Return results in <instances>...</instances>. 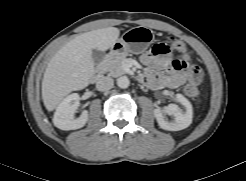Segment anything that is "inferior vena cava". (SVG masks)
Returning a JSON list of instances; mask_svg holds the SVG:
<instances>
[{"label": "inferior vena cava", "mask_w": 246, "mask_h": 181, "mask_svg": "<svg viewBox=\"0 0 246 181\" xmlns=\"http://www.w3.org/2000/svg\"><path fill=\"white\" fill-rule=\"evenodd\" d=\"M114 80L111 77L103 76L98 79L96 83V88L99 91H107L113 88Z\"/></svg>", "instance_id": "obj_1"}]
</instances>
